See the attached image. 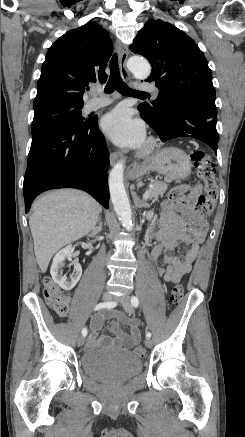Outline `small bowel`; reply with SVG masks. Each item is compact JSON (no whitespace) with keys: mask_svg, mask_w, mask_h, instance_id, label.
<instances>
[{"mask_svg":"<svg viewBox=\"0 0 245 437\" xmlns=\"http://www.w3.org/2000/svg\"><path fill=\"white\" fill-rule=\"evenodd\" d=\"M200 192V187L192 188L189 200L186 203L165 201L162 204V213L159 221L150 230V237L158 243L151 253L154 270L164 281L178 283L191 271L199 253L200 245L206 237L208 222L205 215L195 206V199ZM184 243L188 246L183 256L173 254L174 248ZM166 252V257L161 264L157 261ZM105 316L96 315L91 321L92 335L87 348L93 349L98 344L108 345L112 342L126 349L132 348L140 340L139 325L137 320L128 319L122 314L116 316V321L111 327L114 340L108 336L98 337ZM120 322L130 326V334L125 333Z\"/></svg>","mask_w":245,"mask_h":437,"instance_id":"obj_1","label":"small bowel"}]
</instances>
